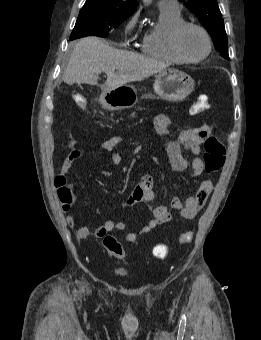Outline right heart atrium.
Instances as JSON below:
<instances>
[{"label":"right heart atrium","instance_id":"d8ad5b80","mask_svg":"<svg viewBox=\"0 0 261 340\" xmlns=\"http://www.w3.org/2000/svg\"><path fill=\"white\" fill-rule=\"evenodd\" d=\"M138 17H139L138 13H134L129 18V20H128L127 24H126V29L127 30H131V29H133L136 26V24L138 22Z\"/></svg>","mask_w":261,"mask_h":340}]
</instances>
